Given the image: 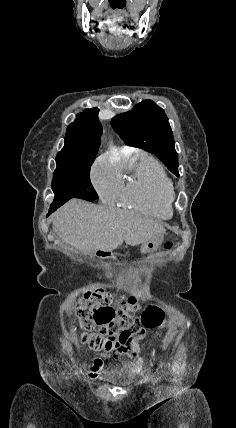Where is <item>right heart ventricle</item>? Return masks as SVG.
I'll return each mask as SVG.
<instances>
[{
  "label": "right heart ventricle",
  "mask_w": 236,
  "mask_h": 428,
  "mask_svg": "<svg viewBox=\"0 0 236 428\" xmlns=\"http://www.w3.org/2000/svg\"><path fill=\"white\" fill-rule=\"evenodd\" d=\"M130 168L122 191V200L148 215L168 219L173 214L175 185L166 170L148 153L137 151L118 165Z\"/></svg>",
  "instance_id": "e07e8e85"
}]
</instances>
